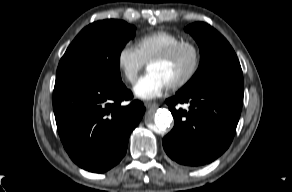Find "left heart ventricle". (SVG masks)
<instances>
[{
  "label": "left heart ventricle",
  "mask_w": 292,
  "mask_h": 192,
  "mask_svg": "<svg viewBox=\"0 0 292 192\" xmlns=\"http://www.w3.org/2000/svg\"><path fill=\"white\" fill-rule=\"evenodd\" d=\"M193 61L194 56L192 51L185 48L168 61L151 63L148 66V71L159 74L168 85H171L189 72L193 65Z\"/></svg>",
  "instance_id": "1"
}]
</instances>
